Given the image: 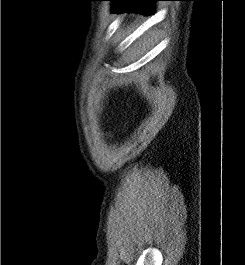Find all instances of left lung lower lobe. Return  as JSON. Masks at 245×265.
<instances>
[{"label": "left lung lower lobe", "instance_id": "obj_1", "mask_svg": "<svg viewBox=\"0 0 245 265\" xmlns=\"http://www.w3.org/2000/svg\"><path fill=\"white\" fill-rule=\"evenodd\" d=\"M114 2L113 12L121 13L123 11H137L144 14L153 13V6L155 1H164V0H109Z\"/></svg>", "mask_w": 245, "mask_h": 265}]
</instances>
